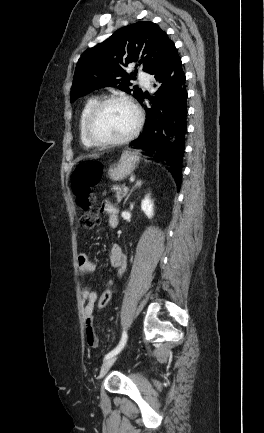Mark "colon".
Masks as SVG:
<instances>
[{
  "instance_id": "colon-1",
  "label": "colon",
  "mask_w": 264,
  "mask_h": 433,
  "mask_svg": "<svg viewBox=\"0 0 264 433\" xmlns=\"http://www.w3.org/2000/svg\"><path fill=\"white\" fill-rule=\"evenodd\" d=\"M102 165L96 161L79 164L73 171L71 186L77 204L85 210L80 218V225L84 229H93L99 222L97 211L91 209L93 203L92 189L99 184L102 177ZM114 291L111 287L104 290L98 301L99 310H104L112 300Z\"/></svg>"
}]
</instances>
